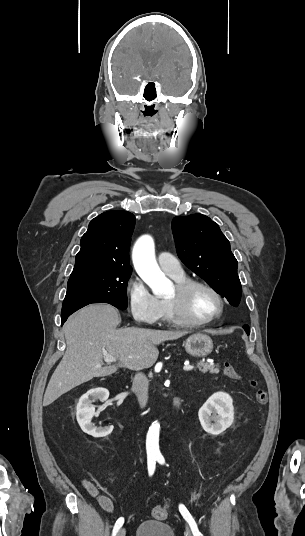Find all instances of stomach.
Listing matches in <instances>:
<instances>
[{"instance_id": "stomach-1", "label": "stomach", "mask_w": 305, "mask_h": 536, "mask_svg": "<svg viewBox=\"0 0 305 536\" xmlns=\"http://www.w3.org/2000/svg\"><path fill=\"white\" fill-rule=\"evenodd\" d=\"M184 346L187 354L195 358H205L213 350V342L206 334H193L187 338Z\"/></svg>"}]
</instances>
